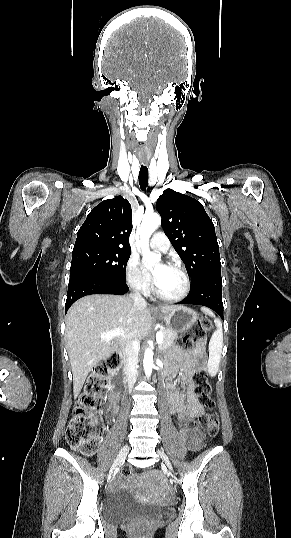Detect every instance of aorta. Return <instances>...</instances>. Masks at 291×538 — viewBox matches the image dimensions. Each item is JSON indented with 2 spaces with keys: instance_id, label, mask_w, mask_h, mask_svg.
I'll list each match as a JSON object with an SVG mask.
<instances>
[{
  "instance_id": "aorta-1",
  "label": "aorta",
  "mask_w": 291,
  "mask_h": 538,
  "mask_svg": "<svg viewBox=\"0 0 291 538\" xmlns=\"http://www.w3.org/2000/svg\"><path fill=\"white\" fill-rule=\"evenodd\" d=\"M161 224V217L157 213L145 214L142 220L139 233L141 240V251L144 258L147 261L149 268H152L155 264L160 263L161 256L153 254L149 248V239L152 233L156 228ZM149 346L152 344L151 341L148 342ZM143 366L146 377H150L152 374V369L154 367L153 363V351L150 347L145 349Z\"/></svg>"
}]
</instances>
